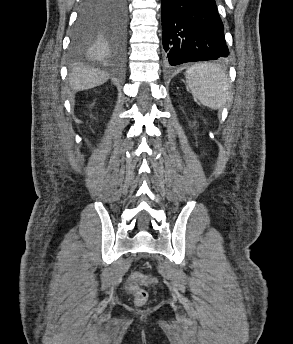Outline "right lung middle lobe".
I'll return each mask as SVG.
<instances>
[{
  "instance_id": "right-lung-middle-lobe-1",
  "label": "right lung middle lobe",
  "mask_w": 293,
  "mask_h": 344,
  "mask_svg": "<svg viewBox=\"0 0 293 344\" xmlns=\"http://www.w3.org/2000/svg\"><path fill=\"white\" fill-rule=\"evenodd\" d=\"M101 10L81 5L79 17L73 31V47L83 49L96 44L112 46L108 28L120 20V5L108 2Z\"/></svg>"
}]
</instances>
